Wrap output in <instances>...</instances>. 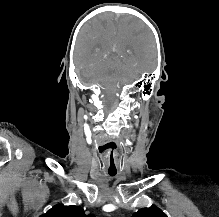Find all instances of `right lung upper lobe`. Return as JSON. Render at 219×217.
Listing matches in <instances>:
<instances>
[{
	"label": "right lung upper lobe",
	"instance_id": "obj_1",
	"mask_svg": "<svg viewBox=\"0 0 219 217\" xmlns=\"http://www.w3.org/2000/svg\"><path fill=\"white\" fill-rule=\"evenodd\" d=\"M40 217H95L92 214L86 215L84 210L78 206H64L57 204L53 206L47 213Z\"/></svg>",
	"mask_w": 219,
	"mask_h": 217
}]
</instances>
